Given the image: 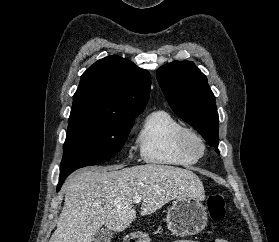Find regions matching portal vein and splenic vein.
<instances>
[{"instance_id":"obj_1","label":"portal vein and splenic vein","mask_w":279,"mask_h":242,"mask_svg":"<svg viewBox=\"0 0 279 242\" xmlns=\"http://www.w3.org/2000/svg\"><path fill=\"white\" fill-rule=\"evenodd\" d=\"M140 201H141V197L140 196H134L133 197V202L134 203L138 204V203H140Z\"/></svg>"}]
</instances>
